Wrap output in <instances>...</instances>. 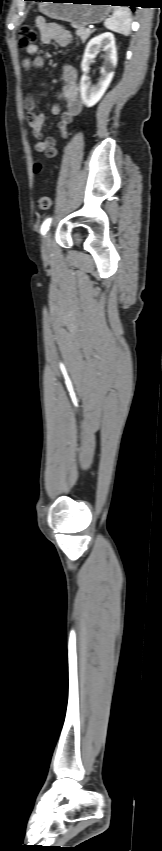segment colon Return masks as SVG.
<instances>
[{"instance_id": "5ec220e1", "label": "colon", "mask_w": 162, "mask_h": 851, "mask_svg": "<svg viewBox=\"0 0 162 851\" xmlns=\"http://www.w3.org/2000/svg\"><path fill=\"white\" fill-rule=\"evenodd\" d=\"M38 35L36 30L31 26H23L20 30L19 35V46L21 48H29L34 45L37 41ZM42 170V165L40 162H36L34 165V172L40 173ZM38 206L43 210H48L51 206V200L47 196H40L38 199Z\"/></svg>"}]
</instances>
